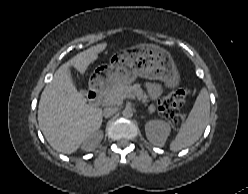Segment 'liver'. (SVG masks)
Here are the masks:
<instances>
[{
    "instance_id": "1",
    "label": "liver",
    "mask_w": 248,
    "mask_h": 194,
    "mask_svg": "<svg viewBox=\"0 0 248 194\" xmlns=\"http://www.w3.org/2000/svg\"><path fill=\"white\" fill-rule=\"evenodd\" d=\"M106 46V43L92 46L61 65L41 94L39 127L58 152L74 153L102 124V110L87 104V99L73 84L69 70L74 67L83 74Z\"/></svg>"
}]
</instances>
